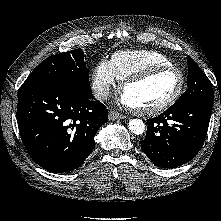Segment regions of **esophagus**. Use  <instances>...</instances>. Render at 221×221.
I'll return each mask as SVG.
<instances>
[{"instance_id": "1", "label": "esophagus", "mask_w": 221, "mask_h": 221, "mask_svg": "<svg viewBox=\"0 0 221 221\" xmlns=\"http://www.w3.org/2000/svg\"><path fill=\"white\" fill-rule=\"evenodd\" d=\"M125 118H126V116H124L116 111L109 112V120L125 119Z\"/></svg>"}]
</instances>
